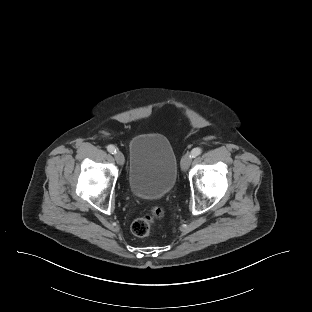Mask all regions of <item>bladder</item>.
<instances>
[{"mask_svg": "<svg viewBox=\"0 0 312 312\" xmlns=\"http://www.w3.org/2000/svg\"><path fill=\"white\" fill-rule=\"evenodd\" d=\"M176 178L177 158L164 135L141 134L130 141L127 182L134 196L162 198L172 190Z\"/></svg>", "mask_w": 312, "mask_h": 312, "instance_id": "bladder-1", "label": "bladder"}]
</instances>
